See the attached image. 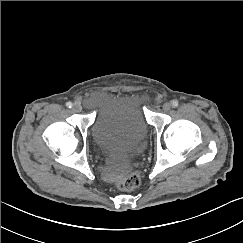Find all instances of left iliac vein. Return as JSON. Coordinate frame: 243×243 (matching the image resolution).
Returning a JSON list of instances; mask_svg holds the SVG:
<instances>
[{
	"label": "left iliac vein",
	"instance_id": "4c4485c4",
	"mask_svg": "<svg viewBox=\"0 0 243 243\" xmlns=\"http://www.w3.org/2000/svg\"><path fill=\"white\" fill-rule=\"evenodd\" d=\"M162 109L164 111H169L171 109V104L168 103V102L164 103L163 106H162Z\"/></svg>",
	"mask_w": 243,
	"mask_h": 243
}]
</instances>
